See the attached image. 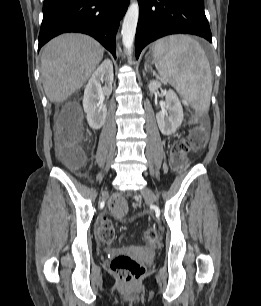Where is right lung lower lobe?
<instances>
[{"mask_svg": "<svg viewBox=\"0 0 261 306\" xmlns=\"http://www.w3.org/2000/svg\"><path fill=\"white\" fill-rule=\"evenodd\" d=\"M130 0H44L38 50L64 32L98 40L116 58L115 37Z\"/></svg>", "mask_w": 261, "mask_h": 306, "instance_id": "98d812e1", "label": "right lung lower lobe"}]
</instances>
